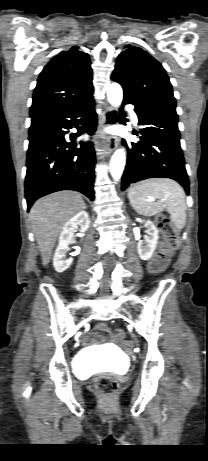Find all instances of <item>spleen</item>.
Here are the masks:
<instances>
[{
  "label": "spleen",
  "instance_id": "spleen-1",
  "mask_svg": "<svg viewBox=\"0 0 208 461\" xmlns=\"http://www.w3.org/2000/svg\"><path fill=\"white\" fill-rule=\"evenodd\" d=\"M150 196L159 201H149ZM128 198L141 215L152 216L166 209L178 229L186 224V195L180 184L172 179L153 178L138 182L130 187Z\"/></svg>",
  "mask_w": 208,
  "mask_h": 461
}]
</instances>
